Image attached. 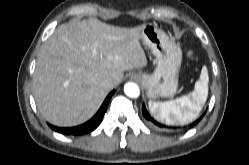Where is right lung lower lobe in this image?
Instances as JSON below:
<instances>
[{"label": "right lung lower lobe", "instance_id": "right-lung-lower-lobe-1", "mask_svg": "<svg viewBox=\"0 0 249 165\" xmlns=\"http://www.w3.org/2000/svg\"><path fill=\"white\" fill-rule=\"evenodd\" d=\"M113 95V92H111L105 99V101L103 102L102 106L100 107V109L98 110V112L95 114V116L90 119L88 122L77 126V127H71V128H59V127H55L50 125V127L59 132L62 133L64 135H82V134H86L89 133L91 131H93L94 129H96L99 124L101 123L103 116L107 110L108 107V103L111 99Z\"/></svg>", "mask_w": 249, "mask_h": 165}]
</instances>
